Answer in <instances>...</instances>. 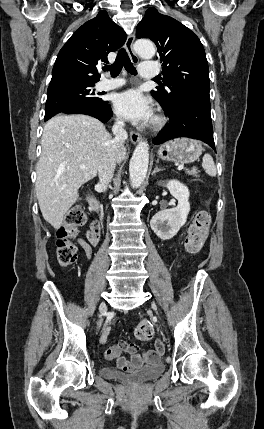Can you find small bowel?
<instances>
[{
    "instance_id": "obj_1",
    "label": "small bowel",
    "mask_w": 264,
    "mask_h": 429,
    "mask_svg": "<svg viewBox=\"0 0 264 429\" xmlns=\"http://www.w3.org/2000/svg\"><path fill=\"white\" fill-rule=\"evenodd\" d=\"M100 234L101 227L99 223L94 222L87 231L86 239H77L78 245L84 250L88 259H91L92 257V247L99 243ZM109 333L110 329H106L102 334L100 338V342L102 344L107 342ZM157 342H159V340L155 342L153 349L147 350L143 353L139 352V347L134 343L120 342L107 348L105 350V357L108 360H115L119 369L131 371L133 369L142 367L144 364H154L160 359L164 348L162 347L159 349L157 347ZM124 352L131 355L130 360L123 356Z\"/></svg>"
}]
</instances>
